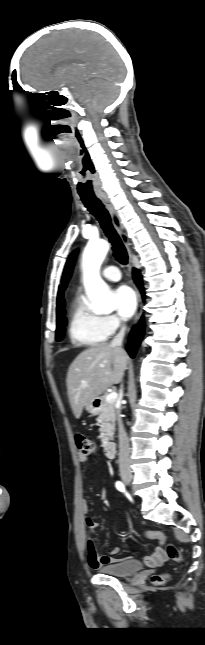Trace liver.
<instances>
[{
  "mask_svg": "<svg viewBox=\"0 0 205 645\" xmlns=\"http://www.w3.org/2000/svg\"><path fill=\"white\" fill-rule=\"evenodd\" d=\"M129 357L117 346L99 343L81 352L69 367L67 393L73 414L81 417L83 408L113 384L121 382Z\"/></svg>",
  "mask_w": 205,
  "mask_h": 645,
  "instance_id": "liver-1",
  "label": "liver"
}]
</instances>
